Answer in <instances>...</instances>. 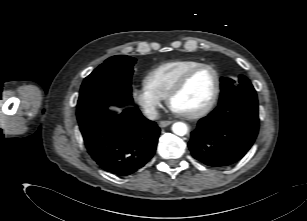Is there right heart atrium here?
<instances>
[{
  "label": "right heart atrium",
  "mask_w": 307,
  "mask_h": 221,
  "mask_svg": "<svg viewBox=\"0 0 307 221\" xmlns=\"http://www.w3.org/2000/svg\"><path fill=\"white\" fill-rule=\"evenodd\" d=\"M131 96L148 118L154 119L157 117L162 102L161 98L154 95L145 86L134 87Z\"/></svg>",
  "instance_id": "1"
}]
</instances>
